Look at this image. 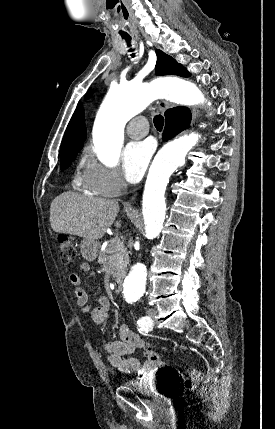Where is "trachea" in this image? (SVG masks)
I'll list each match as a JSON object with an SVG mask.
<instances>
[{
  "mask_svg": "<svg viewBox=\"0 0 275 429\" xmlns=\"http://www.w3.org/2000/svg\"><path fill=\"white\" fill-rule=\"evenodd\" d=\"M123 39H125L128 43V45L130 44V37H124ZM130 46V45H129ZM129 51H133L132 49H130ZM134 57V53L131 54ZM154 122V126L156 127V129L158 131H161L163 129V125H164V118L161 115H156L153 119Z\"/></svg>",
  "mask_w": 275,
  "mask_h": 429,
  "instance_id": "obj_1",
  "label": "trachea"
}]
</instances>
